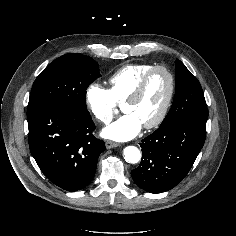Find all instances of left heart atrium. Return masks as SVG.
Returning <instances> with one entry per match:
<instances>
[{"instance_id":"obj_1","label":"left heart atrium","mask_w":236,"mask_h":236,"mask_svg":"<svg viewBox=\"0 0 236 236\" xmlns=\"http://www.w3.org/2000/svg\"><path fill=\"white\" fill-rule=\"evenodd\" d=\"M143 124L140 119L133 113H126L118 120L107 126L102 135L105 138L114 141H128L138 135Z\"/></svg>"}]
</instances>
